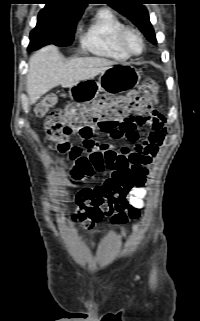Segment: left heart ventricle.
Instances as JSON below:
<instances>
[{"label":"left heart ventricle","mask_w":200,"mask_h":321,"mask_svg":"<svg viewBox=\"0 0 200 321\" xmlns=\"http://www.w3.org/2000/svg\"><path fill=\"white\" fill-rule=\"evenodd\" d=\"M126 44L128 48L133 52H138L141 49V43L137 35L130 32L126 36Z\"/></svg>","instance_id":"b2bd125f"}]
</instances>
